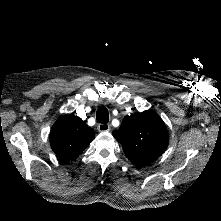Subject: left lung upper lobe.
Listing matches in <instances>:
<instances>
[{"mask_svg":"<svg viewBox=\"0 0 221 221\" xmlns=\"http://www.w3.org/2000/svg\"><path fill=\"white\" fill-rule=\"evenodd\" d=\"M136 166L154 162L168 146V132L163 120L153 111L125 116L119 130L112 132Z\"/></svg>","mask_w":221,"mask_h":221,"instance_id":"1","label":"left lung upper lobe"}]
</instances>
